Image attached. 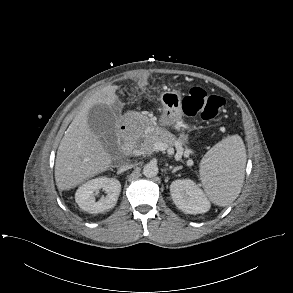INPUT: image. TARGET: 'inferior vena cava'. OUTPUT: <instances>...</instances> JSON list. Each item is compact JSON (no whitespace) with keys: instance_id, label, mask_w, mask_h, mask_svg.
<instances>
[{"instance_id":"inferior-vena-cava-1","label":"inferior vena cava","mask_w":293,"mask_h":293,"mask_svg":"<svg viewBox=\"0 0 293 293\" xmlns=\"http://www.w3.org/2000/svg\"><path fill=\"white\" fill-rule=\"evenodd\" d=\"M132 167H133L132 164H125V165H122V166L120 167L119 171L124 172V171H126V170H128V169H130V168H132Z\"/></svg>"}]
</instances>
